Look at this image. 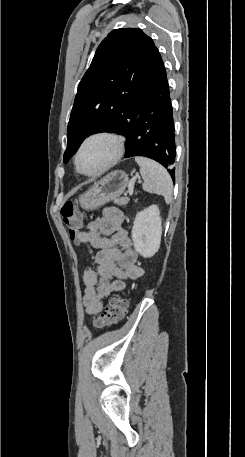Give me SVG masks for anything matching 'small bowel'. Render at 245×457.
Instances as JSON below:
<instances>
[{"label":"small bowel","instance_id":"1","mask_svg":"<svg viewBox=\"0 0 245 457\" xmlns=\"http://www.w3.org/2000/svg\"><path fill=\"white\" fill-rule=\"evenodd\" d=\"M75 241L99 250L95 255L97 270L87 269L83 274V306L88 314H98L105 299L124 290L127 280L142 277L144 270L137 264V252L124 228V215L115 207L105 208Z\"/></svg>","mask_w":245,"mask_h":457}]
</instances>
